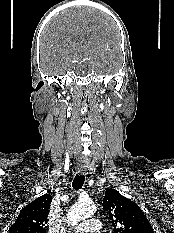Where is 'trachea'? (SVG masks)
Masks as SVG:
<instances>
[{"label": "trachea", "instance_id": "trachea-1", "mask_svg": "<svg viewBox=\"0 0 174 233\" xmlns=\"http://www.w3.org/2000/svg\"><path fill=\"white\" fill-rule=\"evenodd\" d=\"M84 181H85V176L84 175H78L76 174L74 180H73V188L75 190H79L82 188L83 184H84Z\"/></svg>", "mask_w": 174, "mask_h": 233}]
</instances>
